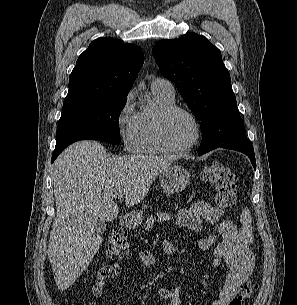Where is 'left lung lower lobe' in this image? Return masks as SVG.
Returning <instances> with one entry per match:
<instances>
[{
  "instance_id": "1",
  "label": "left lung lower lobe",
  "mask_w": 297,
  "mask_h": 305,
  "mask_svg": "<svg viewBox=\"0 0 297 305\" xmlns=\"http://www.w3.org/2000/svg\"><path fill=\"white\" fill-rule=\"evenodd\" d=\"M218 147L231 149V150L239 151V152L246 154L249 157V159L251 160V163H252L254 169L256 168L254 149H253L252 144L250 143V140L247 137H240V138L234 139L232 141L222 143ZM213 149H215V148H209L204 151H199V154L200 155L205 154Z\"/></svg>"
}]
</instances>
